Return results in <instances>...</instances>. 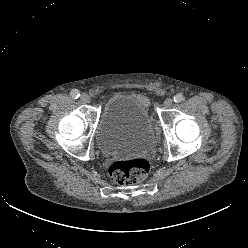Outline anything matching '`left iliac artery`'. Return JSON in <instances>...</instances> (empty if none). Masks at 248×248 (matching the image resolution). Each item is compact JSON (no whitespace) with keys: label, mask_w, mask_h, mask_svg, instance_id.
I'll return each mask as SVG.
<instances>
[{"label":"left iliac artery","mask_w":248,"mask_h":248,"mask_svg":"<svg viewBox=\"0 0 248 248\" xmlns=\"http://www.w3.org/2000/svg\"><path fill=\"white\" fill-rule=\"evenodd\" d=\"M184 99L185 98H184L183 93H179V94L175 95L174 98H173V100H174L175 103H180Z\"/></svg>","instance_id":"44dca946"}]
</instances>
